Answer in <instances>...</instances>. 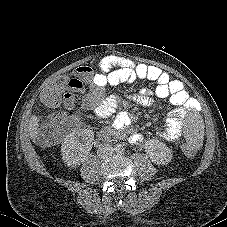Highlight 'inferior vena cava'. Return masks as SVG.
<instances>
[{
	"label": "inferior vena cava",
	"instance_id": "602c4592",
	"mask_svg": "<svg viewBox=\"0 0 227 227\" xmlns=\"http://www.w3.org/2000/svg\"><path fill=\"white\" fill-rule=\"evenodd\" d=\"M113 148L110 145H103L98 149V156L100 158H107L108 156L112 155Z\"/></svg>",
	"mask_w": 227,
	"mask_h": 227
}]
</instances>
